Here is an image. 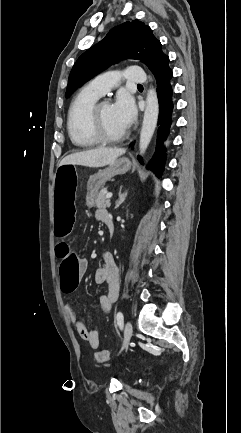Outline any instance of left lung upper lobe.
I'll return each mask as SVG.
<instances>
[{
	"instance_id": "1",
	"label": "left lung upper lobe",
	"mask_w": 241,
	"mask_h": 433,
	"mask_svg": "<svg viewBox=\"0 0 241 433\" xmlns=\"http://www.w3.org/2000/svg\"><path fill=\"white\" fill-rule=\"evenodd\" d=\"M136 58L145 63L154 76L169 66V57L149 26L133 20L114 27L98 44L84 52L74 64L66 90L70 96L84 82L121 59Z\"/></svg>"
}]
</instances>
